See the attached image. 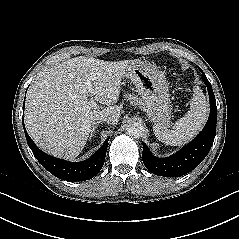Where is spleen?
I'll use <instances>...</instances> for the list:
<instances>
[{
  "instance_id": "obj_1",
  "label": "spleen",
  "mask_w": 239,
  "mask_h": 239,
  "mask_svg": "<svg viewBox=\"0 0 239 239\" xmlns=\"http://www.w3.org/2000/svg\"><path fill=\"white\" fill-rule=\"evenodd\" d=\"M208 112L209 107L206 98L197 87L191 99L190 110L185 116L176 121L171 130L154 126V134L159 141L166 145L182 146L203 129L208 118Z\"/></svg>"
}]
</instances>
